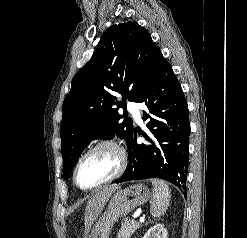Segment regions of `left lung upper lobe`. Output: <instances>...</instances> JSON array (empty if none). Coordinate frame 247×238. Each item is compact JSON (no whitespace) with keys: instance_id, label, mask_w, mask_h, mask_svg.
Returning a JSON list of instances; mask_svg holds the SVG:
<instances>
[{"instance_id":"5c2ea615","label":"left lung upper lobe","mask_w":247,"mask_h":238,"mask_svg":"<svg viewBox=\"0 0 247 238\" xmlns=\"http://www.w3.org/2000/svg\"><path fill=\"white\" fill-rule=\"evenodd\" d=\"M165 58L147 30L136 22L109 27L89 62L73 77L63 102L60 126L65 179L85 147L117 135L129 142L134 126L118 113L126 98L139 102ZM114 92L122 95L119 102Z\"/></svg>"}]
</instances>
